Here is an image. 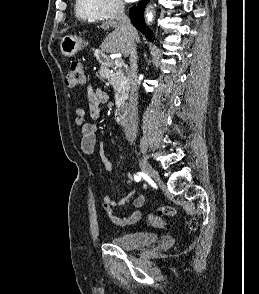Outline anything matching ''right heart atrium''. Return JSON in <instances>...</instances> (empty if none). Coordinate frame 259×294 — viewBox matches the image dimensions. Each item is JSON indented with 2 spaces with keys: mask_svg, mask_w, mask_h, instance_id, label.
<instances>
[{
  "mask_svg": "<svg viewBox=\"0 0 259 294\" xmlns=\"http://www.w3.org/2000/svg\"><path fill=\"white\" fill-rule=\"evenodd\" d=\"M102 19H113L124 11L121 0H94Z\"/></svg>",
  "mask_w": 259,
  "mask_h": 294,
  "instance_id": "1",
  "label": "right heart atrium"
}]
</instances>
